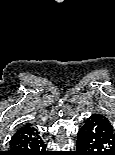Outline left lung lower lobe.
Instances as JSON below:
<instances>
[{"label":"left lung lower lobe","instance_id":"left-lung-lower-lobe-1","mask_svg":"<svg viewBox=\"0 0 115 155\" xmlns=\"http://www.w3.org/2000/svg\"><path fill=\"white\" fill-rule=\"evenodd\" d=\"M77 155H115V129L102 114L87 118L78 132Z\"/></svg>","mask_w":115,"mask_h":155}]
</instances>
